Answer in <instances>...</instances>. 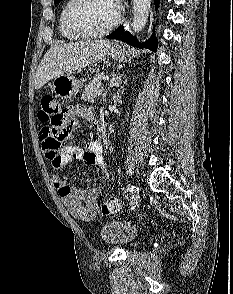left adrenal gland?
<instances>
[{
  "label": "left adrenal gland",
  "instance_id": "1",
  "mask_svg": "<svg viewBox=\"0 0 233 294\" xmlns=\"http://www.w3.org/2000/svg\"><path fill=\"white\" fill-rule=\"evenodd\" d=\"M122 76H123V74H121V75L113 74L112 75V79H111V81L109 83V86L106 89L105 93L103 94L104 101H106V95H107L109 89L112 88V87H118L121 84Z\"/></svg>",
  "mask_w": 233,
  "mask_h": 294
}]
</instances>
